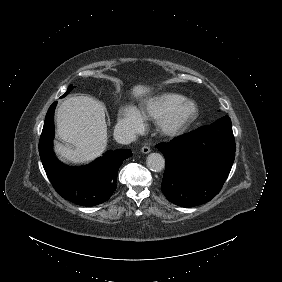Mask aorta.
I'll use <instances>...</instances> for the list:
<instances>
[{"label": "aorta", "instance_id": "aorta-1", "mask_svg": "<svg viewBox=\"0 0 282 282\" xmlns=\"http://www.w3.org/2000/svg\"><path fill=\"white\" fill-rule=\"evenodd\" d=\"M147 167L154 172H161L165 167V160L159 153H151L146 160Z\"/></svg>", "mask_w": 282, "mask_h": 282}]
</instances>
